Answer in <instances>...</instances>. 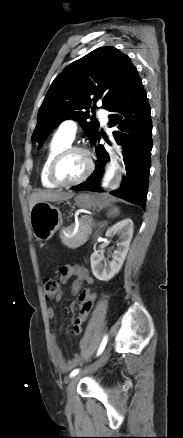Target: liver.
I'll use <instances>...</instances> for the list:
<instances>
[{"instance_id":"liver-1","label":"liver","mask_w":183,"mask_h":438,"mask_svg":"<svg viewBox=\"0 0 183 438\" xmlns=\"http://www.w3.org/2000/svg\"><path fill=\"white\" fill-rule=\"evenodd\" d=\"M74 196V193L63 191H39L33 193L29 198V209L39 202H60L65 201Z\"/></svg>"}]
</instances>
